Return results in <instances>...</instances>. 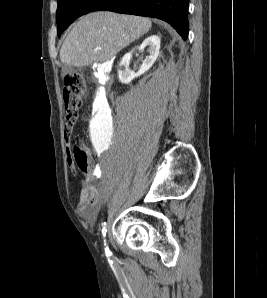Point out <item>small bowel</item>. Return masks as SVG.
I'll return each instance as SVG.
<instances>
[{"label": "small bowel", "instance_id": "c3829d8e", "mask_svg": "<svg viewBox=\"0 0 267 298\" xmlns=\"http://www.w3.org/2000/svg\"><path fill=\"white\" fill-rule=\"evenodd\" d=\"M68 139L69 136L65 135ZM110 196V193H102L93 185L85 184L80 190L79 202L77 205L78 213L88 222L96 219L97 211Z\"/></svg>", "mask_w": 267, "mask_h": 298}]
</instances>
